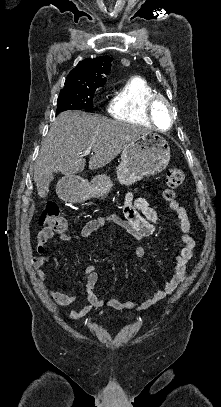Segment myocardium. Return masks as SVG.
<instances>
[{"label":"myocardium","mask_w":221,"mask_h":407,"mask_svg":"<svg viewBox=\"0 0 221 407\" xmlns=\"http://www.w3.org/2000/svg\"><path fill=\"white\" fill-rule=\"evenodd\" d=\"M159 105H165L170 113V120H169V125L166 128L167 130L170 129L174 123V109L170 101L165 98L162 95L156 94L153 97L149 98V100L146 103V110L148 113V117L150 119V122L153 124V126L160 131H164L161 128H159L156 124V118H155V109Z\"/></svg>","instance_id":"myocardium-1"}]
</instances>
